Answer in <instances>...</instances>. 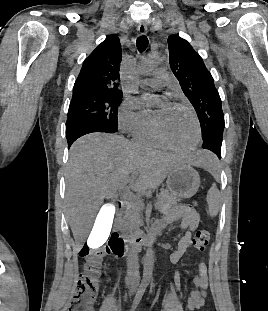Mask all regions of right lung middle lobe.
Returning <instances> with one entry per match:
<instances>
[{
    "label": "right lung middle lobe",
    "instance_id": "dd1d6c3e",
    "mask_svg": "<svg viewBox=\"0 0 268 311\" xmlns=\"http://www.w3.org/2000/svg\"><path fill=\"white\" fill-rule=\"evenodd\" d=\"M123 95L103 93H73L69 106L66 130L80 123H92L111 132L118 129V107Z\"/></svg>",
    "mask_w": 268,
    "mask_h": 311
}]
</instances>
